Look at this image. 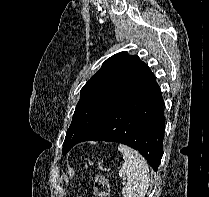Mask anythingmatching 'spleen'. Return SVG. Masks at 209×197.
<instances>
[{"mask_svg":"<svg viewBox=\"0 0 209 197\" xmlns=\"http://www.w3.org/2000/svg\"><path fill=\"white\" fill-rule=\"evenodd\" d=\"M118 150L124 159L119 176L127 181L122 189L123 197H145L150 184L149 167L146 160L139 152L126 145L120 144Z\"/></svg>","mask_w":209,"mask_h":197,"instance_id":"obj_1","label":"spleen"}]
</instances>
